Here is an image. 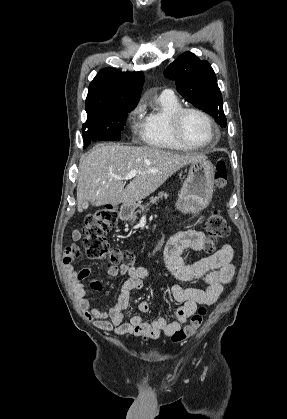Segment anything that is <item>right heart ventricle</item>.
<instances>
[{
	"label": "right heart ventricle",
	"instance_id": "e07e8e85",
	"mask_svg": "<svg viewBox=\"0 0 287 419\" xmlns=\"http://www.w3.org/2000/svg\"><path fill=\"white\" fill-rule=\"evenodd\" d=\"M182 107L178 98L172 95L160 94L156 97L154 106L144 111L139 125V135L147 146L168 149L188 150L178 142L172 133L170 117L174 111Z\"/></svg>",
	"mask_w": 287,
	"mask_h": 419
}]
</instances>
